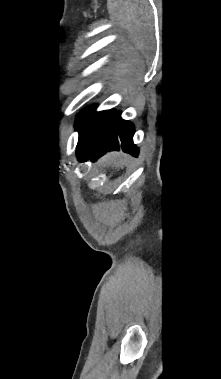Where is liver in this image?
Here are the masks:
<instances>
[{
	"instance_id": "liver-1",
	"label": "liver",
	"mask_w": 221,
	"mask_h": 379,
	"mask_svg": "<svg viewBox=\"0 0 221 379\" xmlns=\"http://www.w3.org/2000/svg\"><path fill=\"white\" fill-rule=\"evenodd\" d=\"M126 162V155L121 152L108 153L99 160V164H103L105 166L111 165L112 168L120 167L121 169H123Z\"/></svg>"
}]
</instances>
